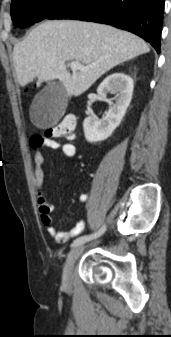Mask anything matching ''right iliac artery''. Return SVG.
Segmentation results:
<instances>
[{"mask_svg": "<svg viewBox=\"0 0 171 337\" xmlns=\"http://www.w3.org/2000/svg\"><path fill=\"white\" fill-rule=\"evenodd\" d=\"M105 229H106V227L103 226L98 232H96L94 234L84 235V236H81V237L77 238L76 240H74L71 247H76V246L82 245L89 240H92L94 238L99 237L101 234L104 233Z\"/></svg>", "mask_w": 171, "mask_h": 337, "instance_id": "1", "label": "right iliac artery"}]
</instances>
